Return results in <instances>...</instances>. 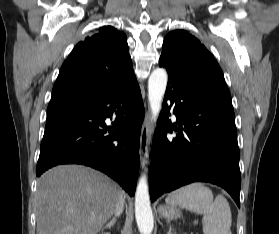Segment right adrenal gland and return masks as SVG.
<instances>
[{
    "label": "right adrenal gland",
    "instance_id": "2a0ac1e0",
    "mask_svg": "<svg viewBox=\"0 0 279 234\" xmlns=\"http://www.w3.org/2000/svg\"><path fill=\"white\" fill-rule=\"evenodd\" d=\"M116 219H117L116 216H114V217L107 223V225H106L105 227H103L102 230H104V229H106V228L111 229V227L115 225Z\"/></svg>",
    "mask_w": 279,
    "mask_h": 234
}]
</instances>
